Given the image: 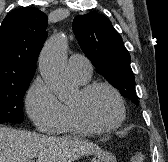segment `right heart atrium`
<instances>
[{"label": "right heart atrium", "instance_id": "right-heart-atrium-1", "mask_svg": "<svg viewBox=\"0 0 168 162\" xmlns=\"http://www.w3.org/2000/svg\"><path fill=\"white\" fill-rule=\"evenodd\" d=\"M25 106L28 115L41 132L52 133L64 121L63 103L56 97L50 85L40 77L29 87Z\"/></svg>", "mask_w": 168, "mask_h": 162}]
</instances>
